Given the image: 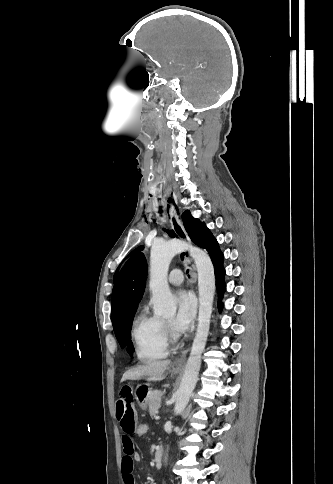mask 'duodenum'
<instances>
[{"mask_svg": "<svg viewBox=\"0 0 333 484\" xmlns=\"http://www.w3.org/2000/svg\"><path fill=\"white\" fill-rule=\"evenodd\" d=\"M162 459H163V450L162 448L158 447L154 453V463L156 468H160L162 466Z\"/></svg>", "mask_w": 333, "mask_h": 484, "instance_id": "410a0bca", "label": "duodenum"}]
</instances>
